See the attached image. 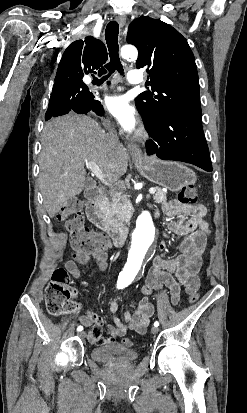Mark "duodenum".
<instances>
[{
  "instance_id": "410a0bca",
  "label": "duodenum",
  "mask_w": 247,
  "mask_h": 413,
  "mask_svg": "<svg viewBox=\"0 0 247 413\" xmlns=\"http://www.w3.org/2000/svg\"><path fill=\"white\" fill-rule=\"evenodd\" d=\"M86 197L88 200L86 215L89 221L95 227L105 232L112 239L115 245H121L123 242L122 233L107 223L103 216L106 190L101 186L92 187L87 190Z\"/></svg>"
}]
</instances>
